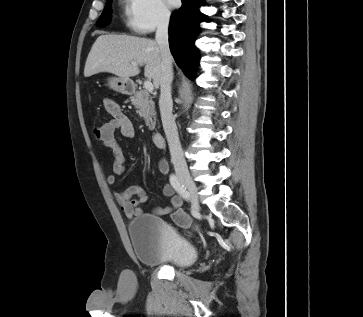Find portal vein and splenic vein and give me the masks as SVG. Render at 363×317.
I'll return each instance as SVG.
<instances>
[{
    "label": "portal vein and splenic vein",
    "mask_w": 363,
    "mask_h": 317,
    "mask_svg": "<svg viewBox=\"0 0 363 317\" xmlns=\"http://www.w3.org/2000/svg\"><path fill=\"white\" fill-rule=\"evenodd\" d=\"M131 66H132V67H137V64H136V63H132V64H131ZM144 88H145L147 91H149V92H151V91H153V90H154V86H153L152 82H151V81H149V80H146V81L144 82Z\"/></svg>",
    "instance_id": "portal-vein-and-splenic-vein-1"
}]
</instances>
